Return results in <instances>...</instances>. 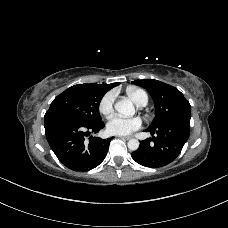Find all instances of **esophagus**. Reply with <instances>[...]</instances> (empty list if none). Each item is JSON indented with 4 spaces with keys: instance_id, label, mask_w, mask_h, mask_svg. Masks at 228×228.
Masks as SVG:
<instances>
[{
    "instance_id": "esophagus-1",
    "label": "esophagus",
    "mask_w": 228,
    "mask_h": 228,
    "mask_svg": "<svg viewBox=\"0 0 228 228\" xmlns=\"http://www.w3.org/2000/svg\"><path fill=\"white\" fill-rule=\"evenodd\" d=\"M121 139H125V140H129V139H131V137L130 136H119Z\"/></svg>"
}]
</instances>
